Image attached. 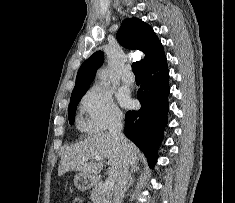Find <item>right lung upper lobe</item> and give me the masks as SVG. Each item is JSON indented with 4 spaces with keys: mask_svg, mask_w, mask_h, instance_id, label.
Masks as SVG:
<instances>
[{
    "mask_svg": "<svg viewBox=\"0 0 235 203\" xmlns=\"http://www.w3.org/2000/svg\"><path fill=\"white\" fill-rule=\"evenodd\" d=\"M117 39L125 48L137 49L145 54L140 63L141 70L165 55L163 46L152 27L138 18L125 19L117 32ZM103 59V52L97 51L81 65L72 94L89 88Z\"/></svg>",
    "mask_w": 235,
    "mask_h": 203,
    "instance_id": "obj_1",
    "label": "right lung upper lobe"
}]
</instances>
